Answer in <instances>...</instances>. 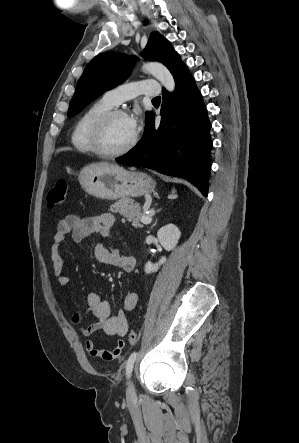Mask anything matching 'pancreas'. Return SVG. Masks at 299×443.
<instances>
[{"label":"pancreas","instance_id":"1","mask_svg":"<svg viewBox=\"0 0 299 443\" xmlns=\"http://www.w3.org/2000/svg\"><path fill=\"white\" fill-rule=\"evenodd\" d=\"M109 211L112 213H119L127 220L132 222V225L136 228H143L141 224V218L145 216V212H141L140 206L134 203L133 199L122 198L110 206Z\"/></svg>","mask_w":299,"mask_h":443}]
</instances>
